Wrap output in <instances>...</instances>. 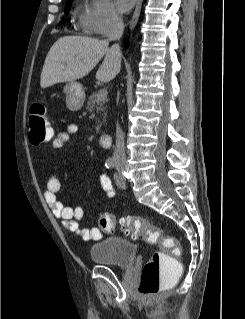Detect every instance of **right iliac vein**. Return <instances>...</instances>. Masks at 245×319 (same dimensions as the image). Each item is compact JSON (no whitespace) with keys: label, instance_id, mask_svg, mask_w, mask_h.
<instances>
[{"label":"right iliac vein","instance_id":"right-iliac-vein-1","mask_svg":"<svg viewBox=\"0 0 245 319\" xmlns=\"http://www.w3.org/2000/svg\"><path fill=\"white\" fill-rule=\"evenodd\" d=\"M123 167H124V166H123L122 164L119 165V168H120V169H123Z\"/></svg>","mask_w":245,"mask_h":319}]
</instances>
